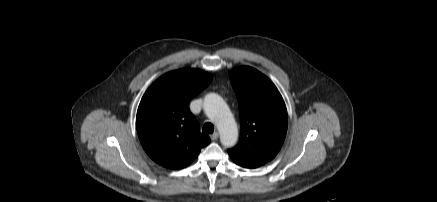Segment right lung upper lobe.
Returning <instances> with one entry per match:
<instances>
[{
  "mask_svg": "<svg viewBox=\"0 0 437 202\" xmlns=\"http://www.w3.org/2000/svg\"><path fill=\"white\" fill-rule=\"evenodd\" d=\"M211 80L205 71L180 69L158 78L143 95L136 117L137 133L157 164L184 168L210 143V138L199 132L189 102Z\"/></svg>",
  "mask_w": 437,
  "mask_h": 202,
  "instance_id": "cb5924a9",
  "label": "right lung upper lobe"
}]
</instances>
